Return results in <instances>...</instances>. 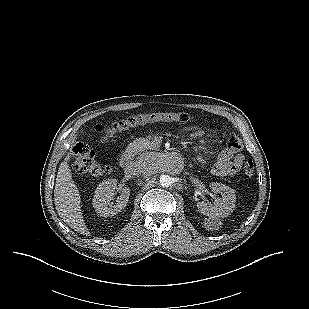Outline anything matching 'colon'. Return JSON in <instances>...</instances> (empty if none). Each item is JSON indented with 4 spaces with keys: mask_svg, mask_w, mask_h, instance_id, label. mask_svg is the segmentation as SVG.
<instances>
[{
    "mask_svg": "<svg viewBox=\"0 0 309 309\" xmlns=\"http://www.w3.org/2000/svg\"><path fill=\"white\" fill-rule=\"evenodd\" d=\"M192 116L187 113H153V114H137L131 115L126 119L112 123L104 132L101 138L103 143L114 141L121 134L129 131L132 128L145 125L147 123L157 122V121H167V122H178L187 123L192 121ZM97 131H101L102 128L98 126ZM230 144L236 143V148H240L241 145L238 143L239 139L233 137L228 141ZM73 153L75 160L73 162L74 170L84 176L97 177L110 172L108 166H102L95 160V151L89 147L88 144L83 142H78L74 148ZM254 173V163L251 159L247 160L245 163V175L251 178Z\"/></svg>",
    "mask_w": 309,
    "mask_h": 309,
    "instance_id": "1",
    "label": "colon"
}]
</instances>
